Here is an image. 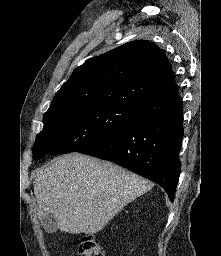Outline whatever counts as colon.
Masks as SVG:
<instances>
[{
  "mask_svg": "<svg viewBox=\"0 0 221 256\" xmlns=\"http://www.w3.org/2000/svg\"><path fill=\"white\" fill-rule=\"evenodd\" d=\"M79 256H105V251L95 238L83 236L79 244Z\"/></svg>",
  "mask_w": 221,
  "mask_h": 256,
  "instance_id": "5ec220e1",
  "label": "colon"
}]
</instances>
